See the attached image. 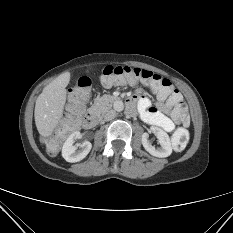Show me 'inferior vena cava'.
I'll return each instance as SVG.
<instances>
[{"label": "inferior vena cava", "mask_w": 233, "mask_h": 233, "mask_svg": "<svg viewBox=\"0 0 233 233\" xmlns=\"http://www.w3.org/2000/svg\"><path fill=\"white\" fill-rule=\"evenodd\" d=\"M116 117V112L115 110L111 109V110H108L104 116H103V119L104 121H110L112 119H114Z\"/></svg>", "instance_id": "602c4592"}]
</instances>
